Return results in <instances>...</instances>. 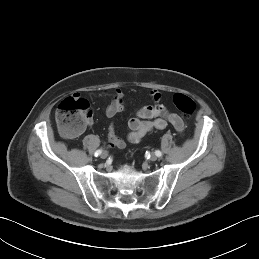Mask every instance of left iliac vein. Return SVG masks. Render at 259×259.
Here are the masks:
<instances>
[{
  "label": "left iliac vein",
  "instance_id": "left-iliac-vein-1",
  "mask_svg": "<svg viewBox=\"0 0 259 259\" xmlns=\"http://www.w3.org/2000/svg\"><path fill=\"white\" fill-rule=\"evenodd\" d=\"M157 155L155 153H152L151 156H150V160L151 161H156L157 160Z\"/></svg>",
  "mask_w": 259,
  "mask_h": 259
}]
</instances>
